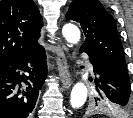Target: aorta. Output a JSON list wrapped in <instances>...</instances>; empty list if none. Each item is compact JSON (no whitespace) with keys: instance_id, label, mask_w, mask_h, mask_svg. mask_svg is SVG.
<instances>
[{"instance_id":"aorta-1","label":"aorta","mask_w":133,"mask_h":118,"mask_svg":"<svg viewBox=\"0 0 133 118\" xmlns=\"http://www.w3.org/2000/svg\"><path fill=\"white\" fill-rule=\"evenodd\" d=\"M64 38L72 44H76L80 40V30L73 24H66L62 29ZM87 87L82 83L78 82L74 85L71 91L70 103L72 108H81L87 99Z\"/></svg>"}]
</instances>
